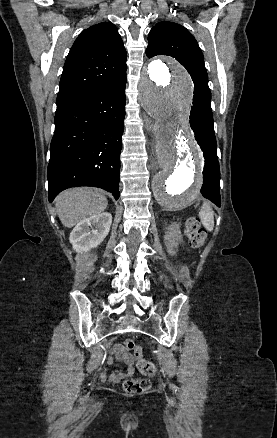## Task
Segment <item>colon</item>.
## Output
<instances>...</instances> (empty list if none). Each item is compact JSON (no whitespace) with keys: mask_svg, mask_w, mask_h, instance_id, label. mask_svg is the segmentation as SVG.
<instances>
[{"mask_svg":"<svg viewBox=\"0 0 277 438\" xmlns=\"http://www.w3.org/2000/svg\"><path fill=\"white\" fill-rule=\"evenodd\" d=\"M186 234L191 245L195 248L200 247L206 240V232L196 219H189L186 223ZM124 345L127 349L132 350L137 359V366L140 372L144 375L153 377L157 374V367L155 364L143 356V351L134 346L131 340H125ZM156 383L154 380L145 379H129L121 381V388L133 398H140L142 392L146 389H154Z\"/></svg>","mask_w":277,"mask_h":438,"instance_id":"5ec220e1","label":"colon"}]
</instances>
